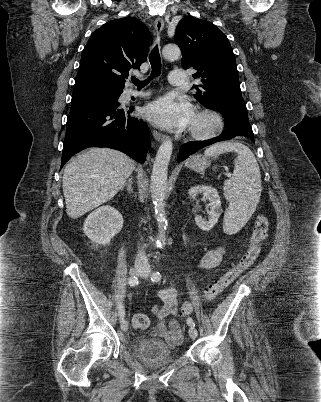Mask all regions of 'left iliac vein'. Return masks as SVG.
Listing matches in <instances>:
<instances>
[{"label":"left iliac vein","mask_w":321,"mask_h":402,"mask_svg":"<svg viewBox=\"0 0 321 402\" xmlns=\"http://www.w3.org/2000/svg\"><path fill=\"white\" fill-rule=\"evenodd\" d=\"M149 274H150V270L147 269L143 274H141V277L147 279L149 277ZM189 335L193 339L197 338L198 331L196 330V328L194 326H191L189 328Z\"/></svg>","instance_id":"4c4485c4"}]
</instances>
